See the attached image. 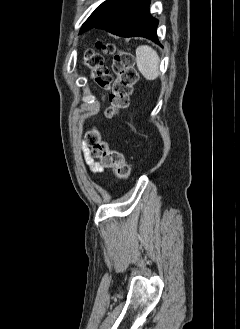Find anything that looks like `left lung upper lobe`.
I'll return each mask as SVG.
<instances>
[{"label":"left lung upper lobe","instance_id":"left-lung-upper-lobe-1","mask_svg":"<svg viewBox=\"0 0 240 329\" xmlns=\"http://www.w3.org/2000/svg\"><path fill=\"white\" fill-rule=\"evenodd\" d=\"M122 0H106L103 2L83 24L80 33L93 28L106 15H108Z\"/></svg>","mask_w":240,"mask_h":329}]
</instances>
